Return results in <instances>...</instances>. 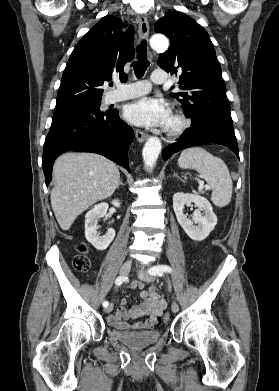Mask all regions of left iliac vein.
Here are the masks:
<instances>
[{"instance_id": "4c4485c4", "label": "left iliac vein", "mask_w": 279, "mask_h": 391, "mask_svg": "<svg viewBox=\"0 0 279 391\" xmlns=\"http://www.w3.org/2000/svg\"><path fill=\"white\" fill-rule=\"evenodd\" d=\"M138 277L144 282H152L154 280V277L145 273L144 271H139L138 272ZM171 310L173 313H177L179 310L178 303L176 301H173L171 305Z\"/></svg>"}]
</instances>
